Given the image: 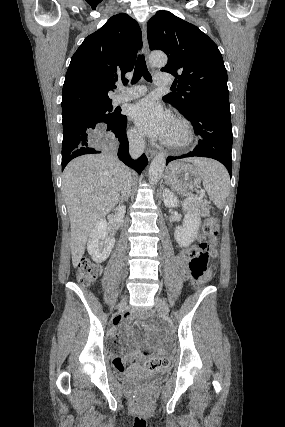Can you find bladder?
<instances>
[{
    "label": "bladder",
    "mask_w": 285,
    "mask_h": 427,
    "mask_svg": "<svg viewBox=\"0 0 285 427\" xmlns=\"http://www.w3.org/2000/svg\"><path fill=\"white\" fill-rule=\"evenodd\" d=\"M120 373H122L124 379L128 382H134L141 378L161 382L167 378V374L163 371L148 372L136 366H129L126 370L120 371Z\"/></svg>",
    "instance_id": "obj_1"
}]
</instances>
